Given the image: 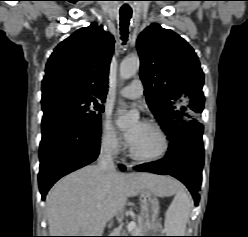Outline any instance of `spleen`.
Here are the masks:
<instances>
[{"mask_svg": "<svg viewBox=\"0 0 248 237\" xmlns=\"http://www.w3.org/2000/svg\"><path fill=\"white\" fill-rule=\"evenodd\" d=\"M191 200L182 188H177L176 196L170 204L165 217L167 236H184L189 220Z\"/></svg>", "mask_w": 248, "mask_h": 237, "instance_id": "3e777b00", "label": "spleen"}]
</instances>
